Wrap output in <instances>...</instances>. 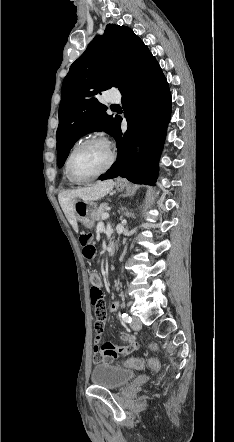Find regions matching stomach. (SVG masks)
I'll return each mask as SVG.
<instances>
[{
    "instance_id": "1",
    "label": "stomach",
    "mask_w": 234,
    "mask_h": 442,
    "mask_svg": "<svg viewBox=\"0 0 234 442\" xmlns=\"http://www.w3.org/2000/svg\"><path fill=\"white\" fill-rule=\"evenodd\" d=\"M125 187L123 183H116V188L122 191ZM76 219L88 229L93 228L95 222L96 203L92 201L77 200L74 204Z\"/></svg>"
}]
</instances>
